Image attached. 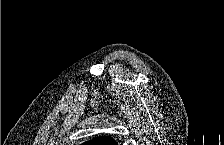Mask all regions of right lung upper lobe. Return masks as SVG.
Here are the masks:
<instances>
[{"mask_svg": "<svg viewBox=\"0 0 224 145\" xmlns=\"http://www.w3.org/2000/svg\"><path fill=\"white\" fill-rule=\"evenodd\" d=\"M84 144L86 145H116V142L111 137L102 136V137L95 138L91 141H87Z\"/></svg>", "mask_w": 224, "mask_h": 145, "instance_id": "1", "label": "right lung upper lobe"}]
</instances>
